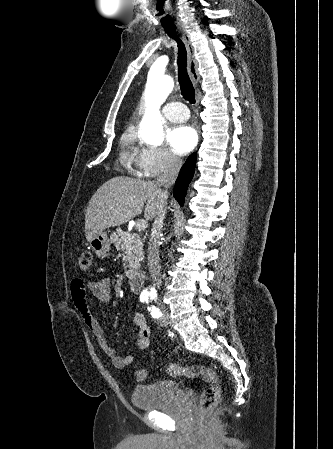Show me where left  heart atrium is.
<instances>
[{
    "label": "left heart atrium",
    "instance_id": "39dd6f15",
    "mask_svg": "<svg viewBox=\"0 0 333 449\" xmlns=\"http://www.w3.org/2000/svg\"><path fill=\"white\" fill-rule=\"evenodd\" d=\"M168 143L178 155L191 151L197 143V133L189 125H178L168 133Z\"/></svg>",
    "mask_w": 333,
    "mask_h": 449
}]
</instances>
